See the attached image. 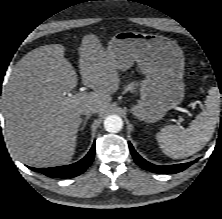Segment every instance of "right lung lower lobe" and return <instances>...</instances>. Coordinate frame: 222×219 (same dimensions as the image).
I'll use <instances>...</instances> for the list:
<instances>
[{
	"instance_id": "right-lung-lower-lobe-1",
	"label": "right lung lower lobe",
	"mask_w": 222,
	"mask_h": 219,
	"mask_svg": "<svg viewBox=\"0 0 222 219\" xmlns=\"http://www.w3.org/2000/svg\"><path fill=\"white\" fill-rule=\"evenodd\" d=\"M95 143L92 145V148L88 154L81 159L80 161L66 166H58L51 168H31L33 171H38L48 177H57V178H70L82 174L92 163L95 155ZM30 168V167H29Z\"/></svg>"
}]
</instances>
